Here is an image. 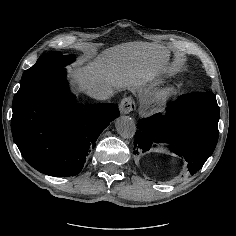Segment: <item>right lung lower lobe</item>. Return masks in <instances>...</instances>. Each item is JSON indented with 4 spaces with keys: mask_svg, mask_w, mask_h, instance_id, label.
Masks as SVG:
<instances>
[{
    "mask_svg": "<svg viewBox=\"0 0 236 236\" xmlns=\"http://www.w3.org/2000/svg\"><path fill=\"white\" fill-rule=\"evenodd\" d=\"M11 129L25 160L41 173L75 176L100 133L119 116L112 103L82 107L69 93L63 67L20 84Z\"/></svg>",
    "mask_w": 236,
    "mask_h": 236,
    "instance_id": "98d812e1",
    "label": "right lung lower lobe"
}]
</instances>
